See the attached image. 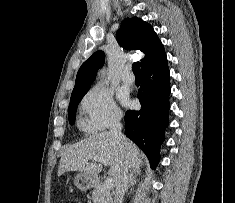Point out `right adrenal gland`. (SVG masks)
<instances>
[{"label":"right adrenal gland","mask_w":235,"mask_h":203,"mask_svg":"<svg viewBox=\"0 0 235 203\" xmlns=\"http://www.w3.org/2000/svg\"><path fill=\"white\" fill-rule=\"evenodd\" d=\"M140 175V174H139ZM137 175L135 174H133V173H131L130 175H129V182H128V185H127V187H126V190H125V192L127 193L128 192V189L131 187V186H133V185H135L136 183H137Z\"/></svg>","instance_id":"1"}]
</instances>
